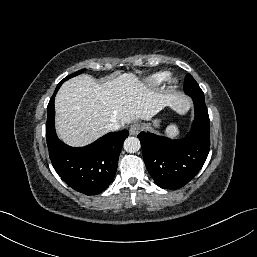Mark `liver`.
<instances>
[{
	"label": "liver",
	"mask_w": 257,
	"mask_h": 257,
	"mask_svg": "<svg viewBox=\"0 0 257 257\" xmlns=\"http://www.w3.org/2000/svg\"><path fill=\"white\" fill-rule=\"evenodd\" d=\"M184 104L178 96L150 90L133 73L102 84L83 74L66 81L56 95V131L66 144L85 146L105 134L112 121L122 126L148 121L166 106L181 111Z\"/></svg>",
	"instance_id": "6515ba94"
}]
</instances>
